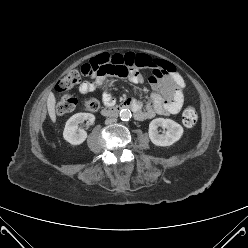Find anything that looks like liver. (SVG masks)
I'll return each mask as SVG.
<instances>
[{
	"instance_id": "1",
	"label": "liver",
	"mask_w": 248,
	"mask_h": 248,
	"mask_svg": "<svg viewBox=\"0 0 248 248\" xmlns=\"http://www.w3.org/2000/svg\"><path fill=\"white\" fill-rule=\"evenodd\" d=\"M55 104H56V99L53 93H50L47 99V109H48V114L52 120V122H56V113H55Z\"/></svg>"
}]
</instances>
